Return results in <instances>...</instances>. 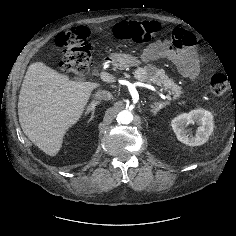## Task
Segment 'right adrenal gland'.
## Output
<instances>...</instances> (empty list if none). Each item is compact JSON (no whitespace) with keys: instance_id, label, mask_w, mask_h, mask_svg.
<instances>
[{"instance_id":"1","label":"right adrenal gland","mask_w":236,"mask_h":236,"mask_svg":"<svg viewBox=\"0 0 236 236\" xmlns=\"http://www.w3.org/2000/svg\"><path fill=\"white\" fill-rule=\"evenodd\" d=\"M100 104V101H93L91 104L87 107L85 115H88L91 112V116L89 121H91L94 118V113H95V107Z\"/></svg>"}]
</instances>
